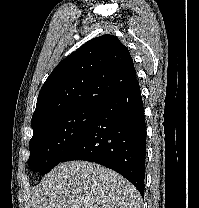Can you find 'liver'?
<instances>
[{
  "label": "liver",
  "instance_id": "6515ba94",
  "mask_svg": "<svg viewBox=\"0 0 199 208\" xmlns=\"http://www.w3.org/2000/svg\"><path fill=\"white\" fill-rule=\"evenodd\" d=\"M137 189L115 171L88 161L58 164L33 189L32 208H141Z\"/></svg>",
  "mask_w": 199,
  "mask_h": 208
}]
</instances>
